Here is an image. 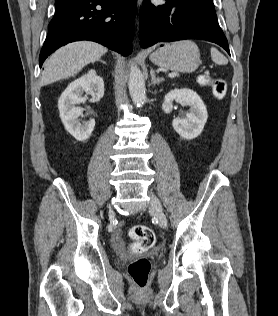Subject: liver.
Instances as JSON below:
<instances>
[{"instance_id": "obj_1", "label": "liver", "mask_w": 278, "mask_h": 316, "mask_svg": "<svg viewBox=\"0 0 278 316\" xmlns=\"http://www.w3.org/2000/svg\"><path fill=\"white\" fill-rule=\"evenodd\" d=\"M107 49L92 41L70 43L53 53L44 64L41 85L76 75L89 63L99 60Z\"/></svg>"}]
</instances>
